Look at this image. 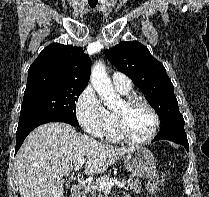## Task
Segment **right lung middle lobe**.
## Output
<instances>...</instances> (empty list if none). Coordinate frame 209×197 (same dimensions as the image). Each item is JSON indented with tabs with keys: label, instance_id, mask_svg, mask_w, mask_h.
<instances>
[{
	"label": "right lung middle lobe",
	"instance_id": "right-lung-middle-lobe-1",
	"mask_svg": "<svg viewBox=\"0 0 209 197\" xmlns=\"http://www.w3.org/2000/svg\"><path fill=\"white\" fill-rule=\"evenodd\" d=\"M85 87L73 82H28L18 125L50 116L68 118L78 123L75 102Z\"/></svg>",
	"mask_w": 209,
	"mask_h": 197
}]
</instances>
